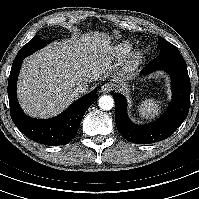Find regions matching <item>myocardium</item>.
Instances as JSON below:
<instances>
[{"label": "myocardium", "mask_w": 199, "mask_h": 199, "mask_svg": "<svg viewBox=\"0 0 199 199\" xmlns=\"http://www.w3.org/2000/svg\"><path fill=\"white\" fill-rule=\"evenodd\" d=\"M140 60H141V55L139 53L135 52V53L130 54L126 62L127 68L133 69L137 67L140 63Z\"/></svg>", "instance_id": "1"}]
</instances>
